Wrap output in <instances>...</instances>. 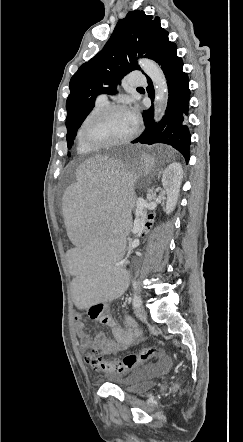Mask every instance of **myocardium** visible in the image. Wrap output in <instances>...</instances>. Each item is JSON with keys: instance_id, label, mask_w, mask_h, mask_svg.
Here are the masks:
<instances>
[{"instance_id": "myocardium-1", "label": "myocardium", "mask_w": 243, "mask_h": 442, "mask_svg": "<svg viewBox=\"0 0 243 442\" xmlns=\"http://www.w3.org/2000/svg\"><path fill=\"white\" fill-rule=\"evenodd\" d=\"M120 110H124V111H128L127 107L121 104H113V105H107L104 108L98 110L97 112H95L94 114L90 115L82 124L81 127V131H80V138L82 140V142L89 147L92 150H98V149H106V148H112V147H116V146H121L124 144H127L128 142H130L138 133V127L137 125H135L133 131L126 136L125 138L119 139V140H115V141H111V142H106V143H94L91 142L87 136H86V131L88 126L94 122L95 120H98L102 117H105L115 111H120Z\"/></svg>"}]
</instances>
